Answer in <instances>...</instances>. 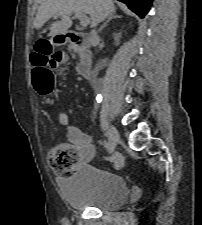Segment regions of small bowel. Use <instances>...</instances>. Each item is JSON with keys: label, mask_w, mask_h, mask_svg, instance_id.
I'll list each match as a JSON object with an SVG mask.
<instances>
[{"label": "small bowel", "mask_w": 202, "mask_h": 225, "mask_svg": "<svg viewBox=\"0 0 202 225\" xmlns=\"http://www.w3.org/2000/svg\"><path fill=\"white\" fill-rule=\"evenodd\" d=\"M33 63L34 56L30 57ZM54 110L60 124L67 126V136L69 140L74 143L78 151V160L80 165L90 163L94 157V143L91 137L75 125H68V115L60 111L59 106L54 104Z\"/></svg>", "instance_id": "1"}]
</instances>
